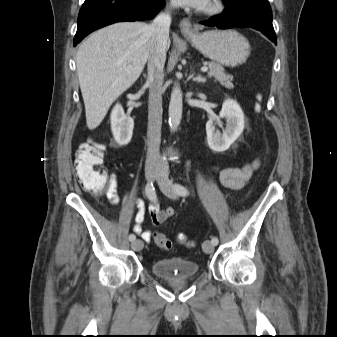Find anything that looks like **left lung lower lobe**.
Instances as JSON below:
<instances>
[{
	"mask_svg": "<svg viewBox=\"0 0 337 337\" xmlns=\"http://www.w3.org/2000/svg\"><path fill=\"white\" fill-rule=\"evenodd\" d=\"M206 26L220 29L234 27H251L261 31L272 42H276V34L272 25V11L268 0H233L226 4L222 14L202 21Z\"/></svg>",
	"mask_w": 337,
	"mask_h": 337,
	"instance_id": "left-lung-lower-lobe-1",
	"label": "left lung lower lobe"
}]
</instances>
